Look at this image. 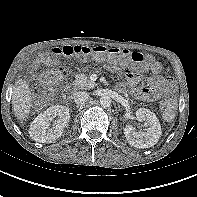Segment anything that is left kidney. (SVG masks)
<instances>
[{
    "label": "left kidney",
    "instance_id": "5707ae66",
    "mask_svg": "<svg viewBox=\"0 0 197 197\" xmlns=\"http://www.w3.org/2000/svg\"><path fill=\"white\" fill-rule=\"evenodd\" d=\"M136 119L145 122L143 132H136L132 125H126L124 135L131 146L136 148H149L154 146L161 137L162 131L155 113L146 108L136 111Z\"/></svg>",
    "mask_w": 197,
    "mask_h": 197
}]
</instances>
